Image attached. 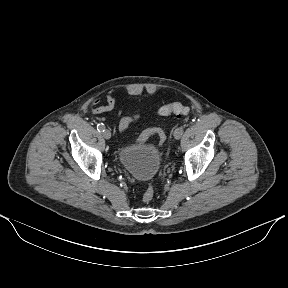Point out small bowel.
Here are the masks:
<instances>
[{
  "label": "small bowel",
  "instance_id": "small-bowel-1",
  "mask_svg": "<svg viewBox=\"0 0 288 288\" xmlns=\"http://www.w3.org/2000/svg\"><path fill=\"white\" fill-rule=\"evenodd\" d=\"M91 108H92V111L96 114H101V113H106V112H115L117 110V102H116L115 97L112 94H108L106 97L105 104L99 105V99L96 98L92 101ZM120 122H119V130L124 131L120 127Z\"/></svg>",
  "mask_w": 288,
  "mask_h": 288
}]
</instances>
